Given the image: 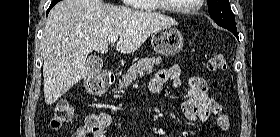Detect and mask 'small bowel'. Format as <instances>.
<instances>
[{
    "instance_id": "1",
    "label": "small bowel",
    "mask_w": 280,
    "mask_h": 137,
    "mask_svg": "<svg viewBox=\"0 0 280 137\" xmlns=\"http://www.w3.org/2000/svg\"><path fill=\"white\" fill-rule=\"evenodd\" d=\"M172 83L173 88L182 84V72L179 65H172L162 69L150 82V91L160 93L167 82ZM186 98L182 104L185 117L191 121H198L204 127H208L212 119L216 120L219 127L230 125V118L222 106L208 95V84L205 78L198 75H191L187 80ZM94 117L96 125L89 124V120ZM112 121V117L107 113L89 116L83 126L79 127L72 137H106L105 132Z\"/></svg>"
}]
</instances>
